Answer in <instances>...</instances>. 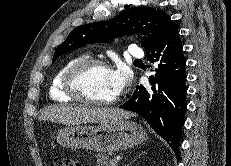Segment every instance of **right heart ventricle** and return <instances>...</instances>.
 Masks as SVG:
<instances>
[{
	"mask_svg": "<svg viewBox=\"0 0 231 166\" xmlns=\"http://www.w3.org/2000/svg\"><path fill=\"white\" fill-rule=\"evenodd\" d=\"M89 56L86 54L77 55L71 59H69L67 62H65L57 71V73L54 75L50 88H49V96L53 101L56 102H67L72 100V97L67 95L63 89V78L66 73V71L75 63L88 59Z\"/></svg>",
	"mask_w": 231,
	"mask_h": 166,
	"instance_id": "obj_1",
	"label": "right heart ventricle"
}]
</instances>
